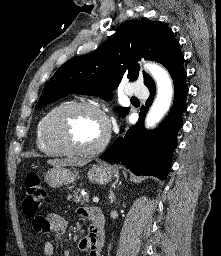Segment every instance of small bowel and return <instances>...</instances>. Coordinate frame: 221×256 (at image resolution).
Wrapping results in <instances>:
<instances>
[{"mask_svg":"<svg viewBox=\"0 0 221 256\" xmlns=\"http://www.w3.org/2000/svg\"><path fill=\"white\" fill-rule=\"evenodd\" d=\"M97 209L81 207L78 214L81 217L90 220L89 234L79 241V249L88 254V256H101L103 239L98 238L94 232L93 214ZM33 229L38 233H47L60 237L67 229L66 220L60 215L51 214L48 216H36L32 221ZM43 255L53 256L54 246L51 241H45L43 244Z\"/></svg>","mask_w":221,"mask_h":256,"instance_id":"obj_1","label":"small bowel"}]
</instances>
